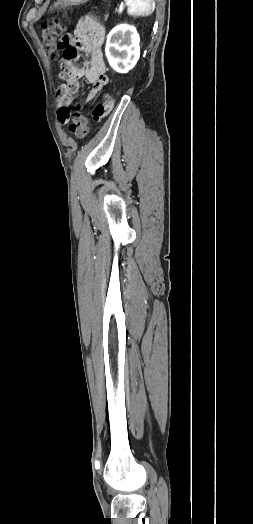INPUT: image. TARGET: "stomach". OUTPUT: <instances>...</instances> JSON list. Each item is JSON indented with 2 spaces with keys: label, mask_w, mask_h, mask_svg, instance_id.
<instances>
[{
  "label": "stomach",
  "mask_w": 253,
  "mask_h": 524,
  "mask_svg": "<svg viewBox=\"0 0 253 524\" xmlns=\"http://www.w3.org/2000/svg\"><path fill=\"white\" fill-rule=\"evenodd\" d=\"M88 0H57L55 3L56 7H67L73 5H79L87 2Z\"/></svg>",
  "instance_id": "obj_1"
}]
</instances>
